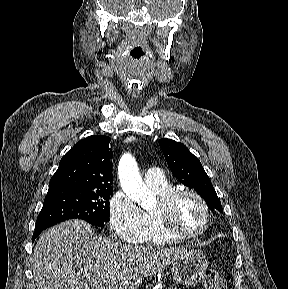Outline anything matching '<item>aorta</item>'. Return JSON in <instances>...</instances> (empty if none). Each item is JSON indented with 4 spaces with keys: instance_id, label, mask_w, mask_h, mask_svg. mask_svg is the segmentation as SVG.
<instances>
[{
    "instance_id": "762f6f07",
    "label": "aorta",
    "mask_w": 288,
    "mask_h": 289,
    "mask_svg": "<svg viewBox=\"0 0 288 289\" xmlns=\"http://www.w3.org/2000/svg\"><path fill=\"white\" fill-rule=\"evenodd\" d=\"M118 176L123 191L132 201L143 209H150L155 206V198L143 182L137 163L131 154H124L120 159Z\"/></svg>"
}]
</instances>
